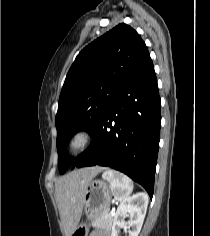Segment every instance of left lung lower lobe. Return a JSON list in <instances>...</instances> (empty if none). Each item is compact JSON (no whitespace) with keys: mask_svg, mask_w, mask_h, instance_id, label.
<instances>
[{"mask_svg":"<svg viewBox=\"0 0 210 236\" xmlns=\"http://www.w3.org/2000/svg\"><path fill=\"white\" fill-rule=\"evenodd\" d=\"M160 96L150 61L116 96L100 119L90 147L73 168L101 165L121 171L152 198L160 140Z\"/></svg>","mask_w":210,"mask_h":236,"instance_id":"1","label":"left lung lower lobe"}]
</instances>
